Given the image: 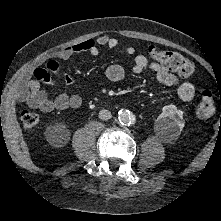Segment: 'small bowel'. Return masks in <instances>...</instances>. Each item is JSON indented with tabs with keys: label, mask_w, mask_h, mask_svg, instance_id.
I'll use <instances>...</instances> for the list:
<instances>
[{
	"label": "small bowel",
	"mask_w": 221,
	"mask_h": 221,
	"mask_svg": "<svg viewBox=\"0 0 221 221\" xmlns=\"http://www.w3.org/2000/svg\"><path fill=\"white\" fill-rule=\"evenodd\" d=\"M100 47L119 48L121 42L116 37L101 35L95 39L88 38L71 46L64 47L49 58L43 67L34 69L27 75L19 85L16 96L19 101L25 102L29 107L39 109L42 112H52L55 110H65L67 108H78L82 104V99L78 95H68L65 93L51 98L48 93L41 89V83L53 85L52 76L58 77L65 84L70 85L73 80L70 76L63 73L59 64L60 60H68L72 56L87 52L92 56L99 54ZM127 54H134L132 46H124ZM149 68L155 75L157 81L167 87L177 86V92L182 101H191L195 95V87L192 83L183 81L172 72L161 67L157 62L149 63L147 58L139 54L135 57L133 72L140 74ZM107 79L111 82H120L125 77V70L120 64H111L105 71Z\"/></svg>",
	"instance_id": "c3829d8e"
}]
</instances>
